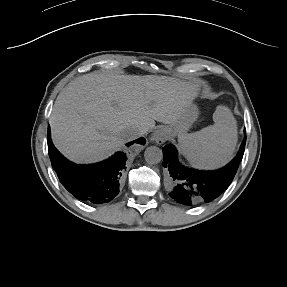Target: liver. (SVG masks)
<instances>
[{"mask_svg":"<svg viewBox=\"0 0 287 287\" xmlns=\"http://www.w3.org/2000/svg\"><path fill=\"white\" fill-rule=\"evenodd\" d=\"M199 85L164 76L91 72L57 96L49 119L55 147L76 163H95L119 151L128 127H155L181 119Z\"/></svg>","mask_w":287,"mask_h":287,"instance_id":"1","label":"liver"}]
</instances>
